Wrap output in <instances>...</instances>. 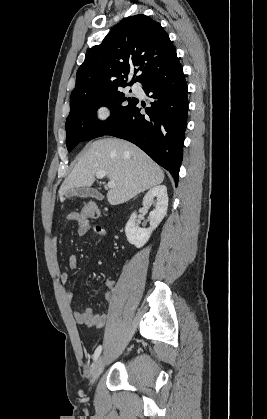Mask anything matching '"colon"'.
<instances>
[{"label": "colon", "mask_w": 267, "mask_h": 419, "mask_svg": "<svg viewBox=\"0 0 267 419\" xmlns=\"http://www.w3.org/2000/svg\"><path fill=\"white\" fill-rule=\"evenodd\" d=\"M82 219L89 220L97 218L100 215V209L95 204L85 205L79 212Z\"/></svg>", "instance_id": "colon-1"}]
</instances>
